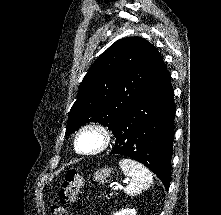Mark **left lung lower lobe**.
<instances>
[{
	"label": "left lung lower lobe",
	"instance_id": "1",
	"mask_svg": "<svg viewBox=\"0 0 221 215\" xmlns=\"http://www.w3.org/2000/svg\"><path fill=\"white\" fill-rule=\"evenodd\" d=\"M174 91L165 64L120 119L111 154L131 157L152 170L168 190L174 136Z\"/></svg>",
	"mask_w": 221,
	"mask_h": 215
}]
</instances>
